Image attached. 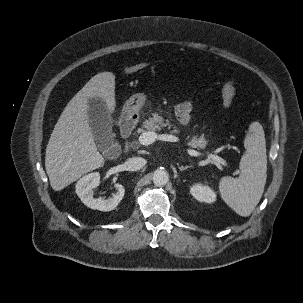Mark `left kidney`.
Masks as SVG:
<instances>
[{
  "label": "left kidney",
  "instance_id": "1",
  "mask_svg": "<svg viewBox=\"0 0 303 303\" xmlns=\"http://www.w3.org/2000/svg\"><path fill=\"white\" fill-rule=\"evenodd\" d=\"M190 193L200 202L213 203L216 201V193L208 185L196 183L190 188Z\"/></svg>",
  "mask_w": 303,
  "mask_h": 303
}]
</instances>
